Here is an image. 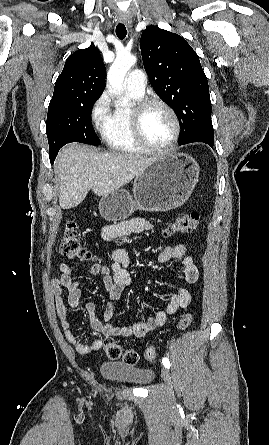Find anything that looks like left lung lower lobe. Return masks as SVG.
Returning <instances> with one entry per match:
<instances>
[{
	"label": "left lung lower lobe",
	"instance_id": "1",
	"mask_svg": "<svg viewBox=\"0 0 269 445\" xmlns=\"http://www.w3.org/2000/svg\"><path fill=\"white\" fill-rule=\"evenodd\" d=\"M204 143H206V144L210 145L211 147H213L214 140L213 141L212 140H206Z\"/></svg>",
	"mask_w": 269,
	"mask_h": 445
}]
</instances>
